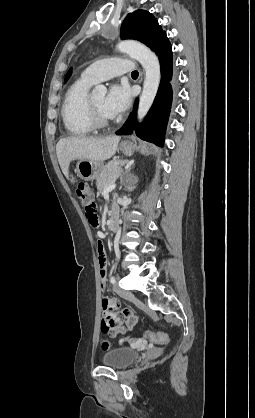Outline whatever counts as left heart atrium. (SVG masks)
Masks as SVG:
<instances>
[{
  "label": "left heart atrium",
  "mask_w": 255,
  "mask_h": 418,
  "mask_svg": "<svg viewBox=\"0 0 255 418\" xmlns=\"http://www.w3.org/2000/svg\"><path fill=\"white\" fill-rule=\"evenodd\" d=\"M130 101L129 88L126 85L114 84L104 99L103 111L108 118H115L129 107Z\"/></svg>",
  "instance_id": "39dd6f15"
}]
</instances>
